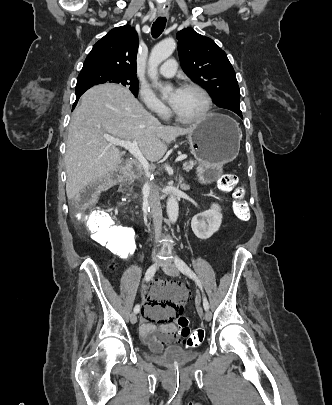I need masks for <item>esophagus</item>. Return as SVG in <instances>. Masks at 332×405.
I'll list each match as a JSON object with an SVG mask.
<instances>
[{
    "label": "esophagus",
    "mask_w": 332,
    "mask_h": 405,
    "mask_svg": "<svg viewBox=\"0 0 332 405\" xmlns=\"http://www.w3.org/2000/svg\"><path fill=\"white\" fill-rule=\"evenodd\" d=\"M160 16H166L167 15V10H159L158 11Z\"/></svg>",
    "instance_id": "esophagus-1"
}]
</instances>
